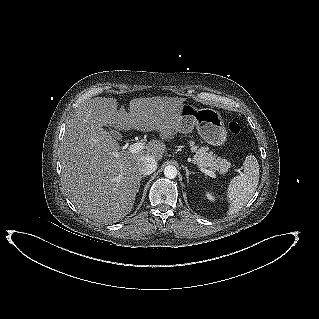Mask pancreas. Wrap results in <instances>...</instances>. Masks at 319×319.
Instances as JSON below:
<instances>
[{"label": "pancreas", "instance_id": "cf45deb5", "mask_svg": "<svg viewBox=\"0 0 319 319\" xmlns=\"http://www.w3.org/2000/svg\"><path fill=\"white\" fill-rule=\"evenodd\" d=\"M190 146L191 150L195 152L193 164L205 169L208 168L213 172L220 171L221 174H225L230 168L231 164L227 160L213 154L208 147L199 148L193 141L190 142Z\"/></svg>", "mask_w": 319, "mask_h": 319}]
</instances>
